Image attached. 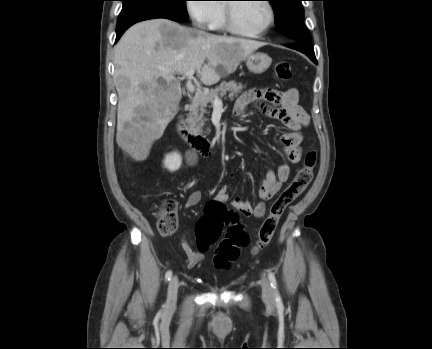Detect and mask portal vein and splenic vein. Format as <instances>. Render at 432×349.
Returning <instances> with one entry per match:
<instances>
[{
  "label": "portal vein and splenic vein",
  "instance_id": "obj_1",
  "mask_svg": "<svg viewBox=\"0 0 432 349\" xmlns=\"http://www.w3.org/2000/svg\"><path fill=\"white\" fill-rule=\"evenodd\" d=\"M194 73H195V70H190V71H188V72L185 73V76L188 77V81L186 83V87H187L188 91H190V92H194L196 90L195 86L192 83V79H193ZM213 103L215 105H222L221 99L219 97H217V96L214 98V102Z\"/></svg>",
  "mask_w": 432,
  "mask_h": 349
}]
</instances>
